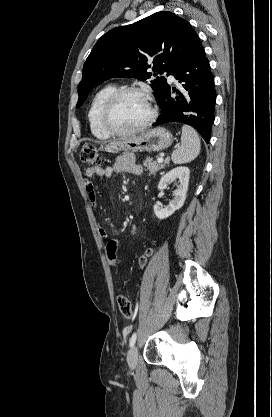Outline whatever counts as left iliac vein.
<instances>
[{
	"label": "left iliac vein",
	"instance_id": "left-iliac-vein-1",
	"mask_svg": "<svg viewBox=\"0 0 272 417\" xmlns=\"http://www.w3.org/2000/svg\"><path fill=\"white\" fill-rule=\"evenodd\" d=\"M138 361V348L133 346L127 355V363L131 369H134Z\"/></svg>",
	"mask_w": 272,
	"mask_h": 417
}]
</instances>
